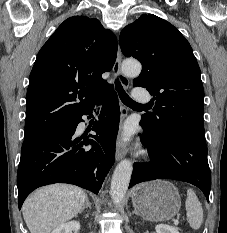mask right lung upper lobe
<instances>
[{
    "label": "right lung upper lobe",
    "instance_id": "right-lung-upper-lobe-1",
    "mask_svg": "<svg viewBox=\"0 0 227 233\" xmlns=\"http://www.w3.org/2000/svg\"><path fill=\"white\" fill-rule=\"evenodd\" d=\"M117 56V39L99 20L66 19L40 49L29 78L25 137L84 113L112 91L102 79Z\"/></svg>",
    "mask_w": 227,
    "mask_h": 233
}]
</instances>
